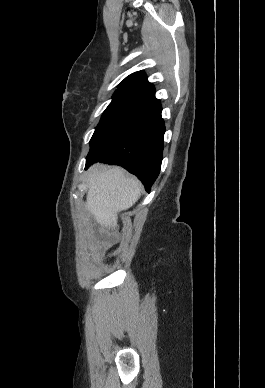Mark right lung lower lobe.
<instances>
[{
  "instance_id": "obj_1",
  "label": "right lung lower lobe",
  "mask_w": 265,
  "mask_h": 388,
  "mask_svg": "<svg viewBox=\"0 0 265 388\" xmlns=\"http://www.w3.org/2000/svg\"><path fill=\"white\" fill-rule=\"evenodd\" d=\"M161 111L160 101H151L89 152L85 168L97 161L121 165L139 177L149 190L159 175L162 162L165 126Z\"/></svg>"
}]
</instances>
